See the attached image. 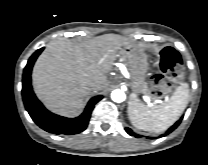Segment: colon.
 I'll return each mask as SVG.
<instances>
[{"instance_id": "5ec220e1", "label": "colon", "mask_w": 208, "mask_h": 165, "mask_svg": "<svg viewBox=\"0 0 208 165\" xmlns=\"http://www.w3.org/2000/svg\"><path fill=\"white\" fill-rule=\"evenodd\" d=\"M183 65L180 54L172 47H165L159 58V73L152 79V92L156 97L166 95L171 87L172 81L182 74Z\"/></svg>"}]
</instances>
